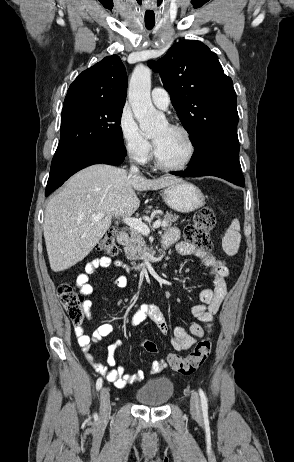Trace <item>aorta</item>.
<instances>
[{"instance_id":"aorta-1","label":"aorta","mask_w":294,"mask_h":462,"mask_svg":"<svg viewBox=\"0 0 294 462\" xmlns=\"http://www.w3.org/2000/svg\"><path fill=\"white\" fill-rule=\"evenodd\" d=\"M150 90L151 70L142 65L135 67L129 83L128 97L134 116L145 134L153 133L162 124V118L152 104Z\"/></svg>"}]
</instances>
